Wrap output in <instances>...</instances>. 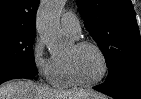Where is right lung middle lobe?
Listing matches in <instances>:
<instances>
[{
	"label": "right lung middle lobe",
	"mask_w": 141,
	"mask_h": 99,
	"mask_svg": "<svg viewBox=\"0 0 141 99\" xmlns=\"http://www.w3.org/2000/svg\"><path fill=\"white\" fill-rule=\"evenodd\" d=\"M36 30L22 28L0 29V71L26 69L37 71L33 42Z\"/></svg>",
	"instance_id": "obj_1"
}]
</instances>
